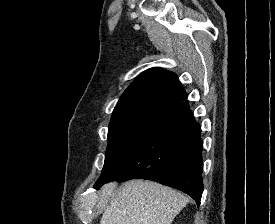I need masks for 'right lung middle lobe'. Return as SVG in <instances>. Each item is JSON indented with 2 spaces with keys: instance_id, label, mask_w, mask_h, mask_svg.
Listing matches in <instances>:
<instances>
[{
  "instance_id": "right-lung-middle-lobe-1",
  "label": "right lung middle lobe",
  "mask_w": 275,
  "mask_h": 224,
  "mask_svg": "<svg viewBox=\"0 0 275 224\" xmlns=\"http://www.w3.org/2000/svg\"><path fill=\"white\" fill-rule=\"evenodd\" d=\"M165 111L147 109L111 120L105 163L97 183L109 179L146 137Z\"/></svg>"
}]
</instances>
